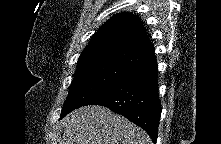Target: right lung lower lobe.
<instances>
[{"mask_svg":"<svg viewBox=\"0 0 221 144\" xmlns=\"http://www.w3.org/2000/svg\"><path fill=\"white\" fill-rule=\"evenodd\" d=\"M154 52L120 80L90 98L85 105H102L121 114L157 140L161 103ZM84 105V106H85Z\"/></svg>","mask_w":221,"mask_h":144,"instance_id":"1","label":"right lung lower lobe"}]
</instances>
